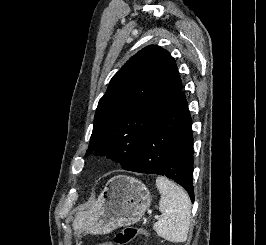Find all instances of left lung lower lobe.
Wrapping results in <instances>:
<instances>
[{
    "instance_id": "left-lung-lower-lobe-1",
    "label": "left lung lower lobe",
    "mask_w": 266,
    "mask_h": 245,
    "mask_svg": "<svg viewBox=\"0 0 266 245\" xmlns=\"http://www.w3.org/2000/svg\"><path fill=\"white\" fill-rule=\"evenodd\" d=\"M125 170L173 179L194 201L193 135L182 88L143 135L134 160Z\"/></svg>"
}]
</instances>
